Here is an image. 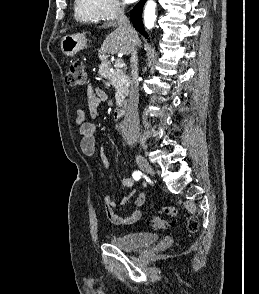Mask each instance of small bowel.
I'll return each mask as SVG.
<instances>
[{"instance_id":"obj_1","label":"small bowel","mask_w":259,"mask_h":294,"mask_svg":"<svg viewBox=\"0 0 259 294\" xmlns=\"http://www.w3.org/2000/svg\"><path fill=\"white\" fill-rule=\"evenodd\" d=\"M107 99L106 93L101 88H93L89 86L87 88V109L92 118H96L99 115V108L102 102ZM75 123L78 127V132L81 135V151L84 155L92 157L95 154V134L96 126L93 123L86 121L85 111L83 109H77L75 112ZM121 184L124 187H132L134 180L127 176L121 179ZM133 193H129L119 201L114 200L109 195L103 198L104 211L108 217V220L117 226L130 225L137 222L142 215L141 208L145 202V194L140 192L137 194L133 201V209L128 215H119L115 212V208L118 205H124Z\"/></svg>"}]
</instances>
